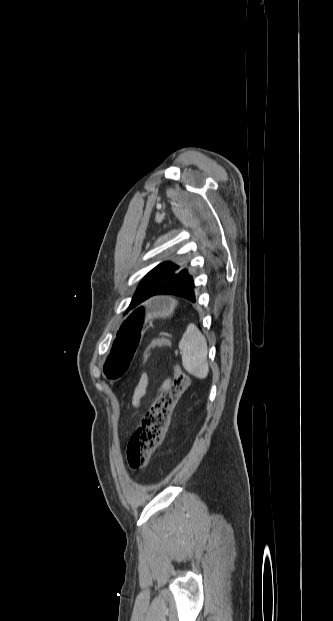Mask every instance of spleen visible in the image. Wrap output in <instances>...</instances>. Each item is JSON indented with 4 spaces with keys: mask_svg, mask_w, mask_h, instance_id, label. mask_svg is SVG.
<instances>
[{
    "mask_svg": "<svg viewBox=\"0 0 333 621\" xmlns=\"http://www.w3.org/2000/svg\"><path fill=\"white\" fill-rule=\"evenodd\" d=\"M184 369L199 379L208 376L207 341L195 325H190L179 342Z\"/></svg>",
    "mask_w": 333,
    "mask_h": 621,
    "instance_id": "3e777b00",
    "label": "spleen"
}]
</instances>
